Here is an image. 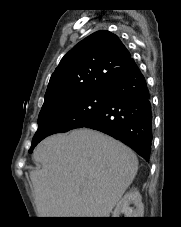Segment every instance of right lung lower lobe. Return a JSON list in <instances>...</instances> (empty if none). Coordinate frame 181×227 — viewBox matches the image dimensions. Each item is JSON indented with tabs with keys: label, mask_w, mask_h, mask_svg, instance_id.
<instances>
[{
	"label": "right lung lower lobe",
	"mask_w": 181,
	"mask_h": 227,
	"mask_svg": "<svg viewBox=\"0 0 181 227\" xmlns=\"http://www.w3.org/2000/svg\"><path fill=\"white\" fill-rule=\"evenodd\" d=\"M104 108L84 126L106 133L129 147L147 162L152 143V107L144 76L133 63L128 73L109 86Z\"/></svg>",
	"instance_id": "right-lung-lower-lobe-1"
}]
</instances>
